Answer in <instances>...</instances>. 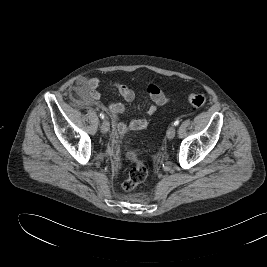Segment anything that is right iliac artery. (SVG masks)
I'll return each instance as SVG.
<instances>
[{"label": "right iliac artery", "mask_w": 267, "mask_h": 267, "mask_svg": "<svg viewBox=\"0 0 267 267\" xmlns=\"http://www.w3.org/2000/svg\"><path fill=\"white\" fill-rule=\"evenodd\" d=\"M104 117H105L104 114L103 113H100V118L101 119H104Z\"/></svg>", "instance_id": "82829eb1"}]
</instances>
